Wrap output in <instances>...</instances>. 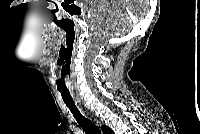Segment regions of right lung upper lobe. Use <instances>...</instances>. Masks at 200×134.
<instances>
[{"mask_svg": "<svg viewBox=\"0 0 200 134\" xmlns=\"http://www.w3.org/2000/svg\"><path fill=\"white\" fill-rule=\"evenodd\" d=\"M103 132L105 133V134H110V133H112V130L109 128V127H107V126H103Z\"/></svg>", "mask_w": 200, "mask_h": 134, "instance_id": "cb5924a9", "label": "right lung upper lobe"}]
</instances>
